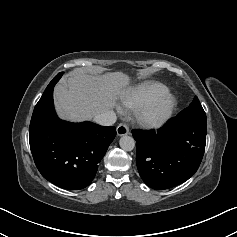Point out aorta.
Returning a JSON list of instances; mask_svg holds the SVG:
<instances>
[{
    "instance_id": "aorta-1",
    "label": "aorta",
    "mask_w": 237,
    "mask_h": 237,
    "mask_svg": "<svg viewBox=\"0 0 237 237\" xmlns=\"http://www.w3.org/2000/svg\"><path fill=\"white\" fill-rule=\"evenodd\" d=\"M119 144L123 150L131 151L135 147V140L128 135H124L120 138Z\"/></svg>"
}]
</instances>
